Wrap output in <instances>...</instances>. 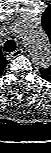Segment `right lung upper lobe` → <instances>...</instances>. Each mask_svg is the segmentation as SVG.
I'll return each mask as SVG.
<instances>
[{
	"instance_id": "obj_1",
	"label": "right lung upper lobe",
	"mask_w": 51,
	"mask_h": 153,
	"mask_svg": "<svg viewBox=\"0 0 51 153\" xmlns=\"http://www.w3.org/2000/svg\"><path fill=\"white\" fill-rule=\"evenodd\" d=\"M6 64H7V60L5 59L4 55L2 54L0 50V76L2 75V72Z\"/></svg>"
}]
</instances>
